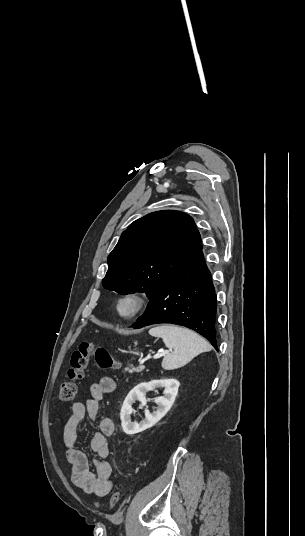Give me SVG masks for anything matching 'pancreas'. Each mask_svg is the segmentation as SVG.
Instances as JSON below:
<instances>
[{"label":"pancreas","mask_w":305,"mask_h":536,"mask_svg":"<svg viewBox=\"0 0 305 536\" xmlns=\"http://www.w3.org/2000/svg\"><path fill=\"white\" fill-rule=\"evenodd\" d=\"M142 370H144V368H142V366H139V368H134V366H132V364H130V366H128V368H125V372H129V374H133V372H142Z\"/></svg>","instance_id":"cf45deb5"}]
</instances>
